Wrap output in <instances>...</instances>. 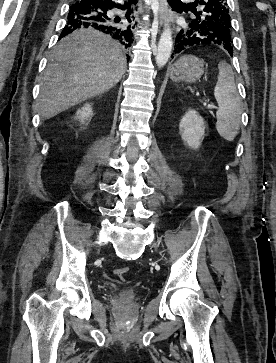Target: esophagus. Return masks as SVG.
<instances>
[{"mask_svg": "<svg viewBox=\"0 0 276 363\" xmlns=\"http://www.w3.org/2000/svg\"><path fill=\"white\" fill-rule=\"evenodd\" d=\"M159 2V21L160 25H166L169 21L167 0H158Z\"/></svg>", "mask_w": 276, "mask_h": 363, "instance_id": "esophagus-1", "label": "esophagus"}]
</instances>
